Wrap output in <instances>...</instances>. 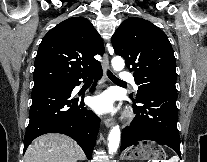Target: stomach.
I'll return each instance as SVG.
<instances>
[{
  "label": "stomach",
  "mask_w": 207,
  "mask_h": 162,
  "mask_svg": "<svg viewBox=\"0 0 207 162\" xmlns=\"http://www.w3.org/2000/svg\"><path fill=\"white\" fill-rule=\"evenodd\" d=\"M165 157L163 148L154 142L139 143L124 153L126 160H157Z\"/></svg>",
  "instance_id": "stomach-1"
}]
</instances>
